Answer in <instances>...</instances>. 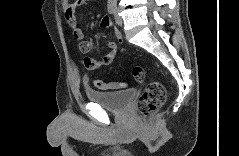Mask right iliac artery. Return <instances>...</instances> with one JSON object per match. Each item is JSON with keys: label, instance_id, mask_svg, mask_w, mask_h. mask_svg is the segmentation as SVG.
<instances>
[{"label": "right iliac artery", "instance_id": "82829eb1", "mask_svg": "<svg viewBox=\"0 0 239 156\" xmlns=\"http://www.w3.org/2000/svg\"><path fill=\"white\" fill-rule=\"evenodd\" d=\"M107 9H108L109 14H114V12L116 10V3L110 2L107 6Z\"/></svg>", "mask_w": 239, "mask_h": 156}]
</instances>
